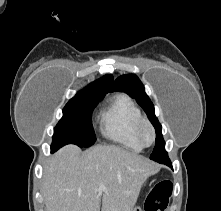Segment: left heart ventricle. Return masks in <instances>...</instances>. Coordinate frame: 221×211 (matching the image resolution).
Segmentation results:
<instances>
[{"label":"left heart ventricle","mask_w":221,"mask_h":211,"mask_svg":"<svg viewBox=\"0 0 221 211\" xmlns=\"http://www.w3.org/2000/svg\"><path fill=\"white\" fill-rule=\"evenodd\" d=\"M145 137H146V140H147V141H150V140H151V135H150L149 132H146V133H145Z\"/></svg>","instance_id":"b2bd125f"}]
</instances>
